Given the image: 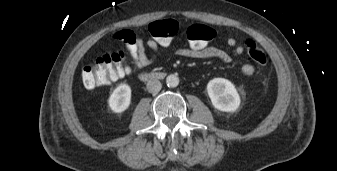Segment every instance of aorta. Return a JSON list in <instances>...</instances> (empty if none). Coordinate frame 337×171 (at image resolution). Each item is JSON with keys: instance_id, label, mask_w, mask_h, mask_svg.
Here are the masks:
<instances>
[{"instance_id": "aorta-1", "label": "aorta", "mask_w": 337, "mask_h": 171, "mask_svg": "<svg viewBox=\"0 0 337 171\" xmlns=\"http://www.w3.org/2000/svg\"><path fill=\"white\" fill-rule=\"evenodd\" d=\"M166 84L168 87H176L179 84V78L175 74H170L166 78Z\"/></svg>"}]
</instances>
